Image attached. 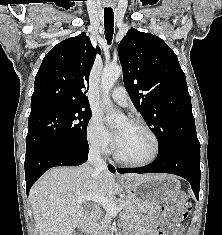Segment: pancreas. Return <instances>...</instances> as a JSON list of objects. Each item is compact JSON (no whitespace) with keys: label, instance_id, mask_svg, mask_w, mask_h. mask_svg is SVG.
Segmentation results:
<instances>
[{"label":"pancreas","instance_id":"pancreas-1","mask_svg":"<svg viewBox=\"0 0 222 235\" xmlns=\"http://www.w3.org/2000/svg\"><path fill=\"white\" fill-rule=\"evenodd\" d=\"M114 203L116 205L123 204V216H125L127 219H130L134 217L137 213V211L146 212L150 208H137L133 202L129 199L123 200H115ZM111 221L112 216L108 213L102 216V218H98V221L94 224V235H109V232L111 230Z\"/></svg>","mask_w":222,"mask_h":235}]
</instances>
